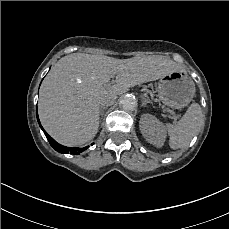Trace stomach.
I'll return each mask as SVG.
<instances>
[{"mask_svg":"<svg viewBox=\"0 0 229 229\" xmlns=\"http://www.w3.org/2000/svg\"><path fill=\"white\" fill-rule=\"evenodd\" d=\"M195 84L186 71L165 75L158 83V98L170 108L182 109L195 96Z\"/></svg>","mask_w":229,"mask_h":229,"instance_id":"0dacf381","label":"stomach"}]
</instances>
